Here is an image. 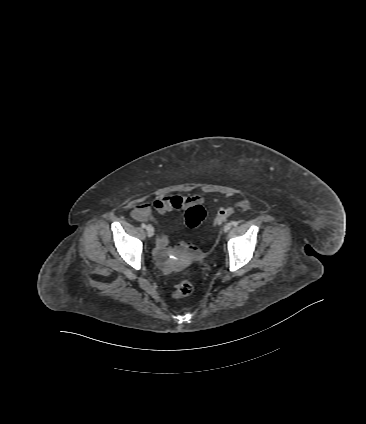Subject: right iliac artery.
<instances>
[{
  "mask_svg": "<svg viewBox=\"0 0 366 424\" xmlns=\"http://www.w3.org/2000/svg\"><path fill=\"white\" fill-rule=\"evenodd\" d=\"M141 227H142V228H146V224L142 223V224H141Z\"/></svg>",
  "mask_w": 366,
  "mask_h": 424,
  "instance_id": "right-iliac-artery-1",
  "label": "right iliac artery"
}]
</instances>
